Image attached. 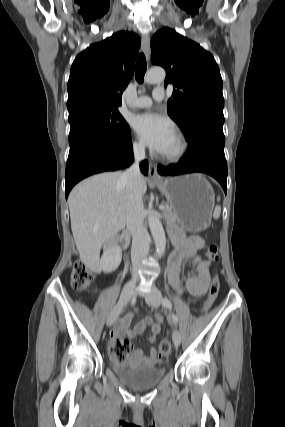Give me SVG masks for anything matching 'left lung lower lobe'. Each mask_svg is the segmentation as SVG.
<instances>
[{
	"instance_id": "1",
	"label": "left lung lower lobe",
	"mask_w": 285,
	"mask_h": 427,
	"mask_svg": "<svg viewBox=\"0 0 285 427\" xmlns=\"http://www.w3.org/2000/svg\"><path fill=\"white\" fill-rule=\"evenodd\" d=\"M186 156L169 168L158 167L161 175H181L193 172L207 173L216 178L225 193L227 191V162L224 154L223 133L207 130L197 134L191 141Z\"/></svg>"
}]
</instances>
